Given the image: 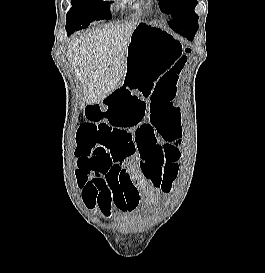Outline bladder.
<instances>
[{"label":"bladder","mask_w":265,"mask_h":273,"mask_svg":"<svg viewBox=\"0 0 265 273\" xmlns=\"http://www.w3.org/2000/svg\"><path fill=\"white\" fill-rule=\"evenodd\" d=\"M140 219H143V216H140Z\"/></svg>","instance_id":"obj_1"}]
</instances>
